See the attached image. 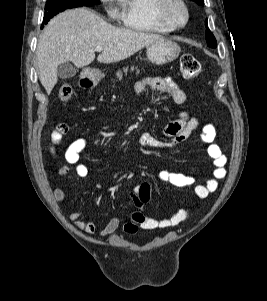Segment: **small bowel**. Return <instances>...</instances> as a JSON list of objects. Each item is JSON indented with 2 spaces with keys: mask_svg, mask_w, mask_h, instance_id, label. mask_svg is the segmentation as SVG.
Returning <instances> with one entry per match:
<instances>
[{
  "mask_svg": "<svg viewBox=\"0 0 267 301\" xmlns=\"http://www.w3.org/2000/svg\"><path fill=\"white\" fill-rule=\"evenodd\" d=\"M135 91L138 94L143 93L150 88L154 91L168 94L172 100L183 107L186 102V94L184 90L170 77H146L135 84ZM200 126L198 119L189 117L186 113H181L176 120L169 122L164 128L165 140H161L149 133H143L139 137V144L151 148H172L186 139L192 132ZM70 127L65 122L56 124L51 132V149L60 145L64 137L69 133ZM216 128L212 123L203 125L200 132V139L207 145V153L213 161V176L208 179L205 184H198L194 187V193L197 199L202 200L207 198L211 193L215 192L219 186V181L226 176L227 158L222 153L220 146L216 142ZM86 140L84 138L75 139L70 143L64 153V159L67 165L61 166L58 170L59 174L66 176L70 172V166L74 167L75 173L78 177L84 178L88 175V167L80 162V155L86 148ZM159 180L169 186L173 187H187L195 183L193 177L179 172H171L168 170H161L158 173ZM140 186H135L130 195L135 205L142 209L143 205L138 200V192ZM56 201H63L65 199V192L62 189H55L53 192ZM192 214L191 209L179 210L173 212L169 216L161 219L145 217L141 211L134 212L131 220L123 225V231L126 233H135L139 228L156 229L176 226L188 219ZM75 226L84 231L86 234H94L96 226L93 222L82 218L80 212H73L68 217ZM120 226V218L118 216L111 217L108 222L102 227L100 235L107 237L117 231Z\"/></svg>",
  "mask_w": 267,
  "mask_h": 301,
  "instance_id": "obj_1",
  "label": "small bowel"
}]
</instances>
